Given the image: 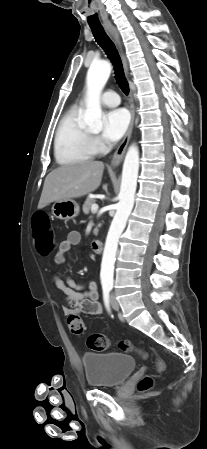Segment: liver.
I'll return each mask as SVG.
<instances>
[{
    "mask_svg": "<svg viewBox=\"0 0 207 449\" xmlns=\"http://www.w3.org/2000/svg\"><path fill=\"white\" fill-rule=\"evenodd\" d=\"M103 170L104 164L100 161H85L54 169L45 179L38 209L95 191L101 183Z\"/></svg>",
    "mask_w": 207,
    "mask_h": 449,
    "instance_id": "obj_1",
    "label": "liver"
}]
</instances>
